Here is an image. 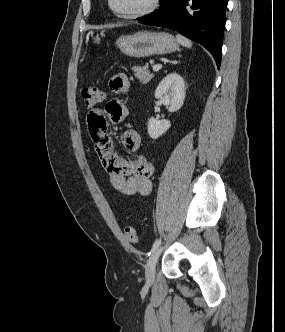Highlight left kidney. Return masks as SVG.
<instances>
[{
	"mask_svg": "<svg viewBox=\"0 0 285 332\" xmlns=\"http://www.w3.org/2000/svg\"><path fill=\"white\" fill-rule=\"evenodd\" d=\"M155 98L168 107L169 112L179 110L185 99V83L176 72L162 79L155 91ZM171 127L169 120H157L151 117L148 121V134L152 139L159 138Z\"/></svg>",
	"mask_w": 285,
	"mask_h": 332,
	"instance_id": "obj_1",
	"label": "left kidney"
}]
</instances>
